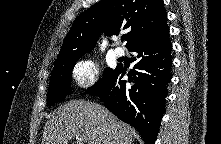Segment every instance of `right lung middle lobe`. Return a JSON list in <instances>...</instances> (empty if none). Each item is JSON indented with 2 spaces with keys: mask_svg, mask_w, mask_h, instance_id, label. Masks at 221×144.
Masks as SVG:
<instances>
[{
  "mask_svg": "<svg viewBox=\"0 0 221 144\" xmlns=\"http://www.w3.org/2000/svg\"><path fill=\"white\" fill-rule=\"evenodd\" d=\"M75 63L76 61H71L53 68L47 93L48 106L54 105L56 102L64 99L66 95L71 94L70 80ZM113 71L114 69L106 68L102 79L90 87L87 93L99 87L112 75Z\"/></svg>",
  "mask_w": 221,
  "mask_h": 144,
  "instance_id": "obj_1",
  "label": "right lung middle lobe"
}]
</instances>
